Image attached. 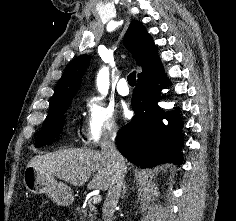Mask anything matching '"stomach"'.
I'll return each mask as SVG.
<instances>
[{"label":"stomach","mask_w":236,"mask_h":221,"mask_svg":"<svg viewBox=\"0 0 236 221\" xmlns=\"http://www.w3.org/2000/svg\"><path fill=\"white\" fill-rule=\"evenodd\" d=\"M25 187L34 194H47L55 203L67 206L74 200L73 192L66 184L57 182L53 175L27 166L23 174Z\"/></svg>","instance_id":"obj_1"}]
</instances>
